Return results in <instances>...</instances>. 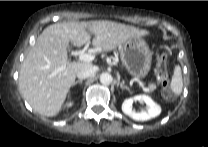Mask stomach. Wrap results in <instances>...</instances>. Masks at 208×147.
I'll list each match as a JSON object with an SVG mask.
<instances>
[{
  "label": "stomach",
  "mask_w": 208,
  "mask_h": 147,
  "mask_svg": "<svg viewBox=\"0 0 208 147\" xmlns=\"http://www.w3.org/2000/svg\"><path fill=\"white\" fill-rule=\"evenodd\" d=\"M120 57L128 72L136 78H144L151 67L152 53L141 38H133L120 47Z\"/></svg>",
  "instance_id": "obj_1"
}]
</instances>
